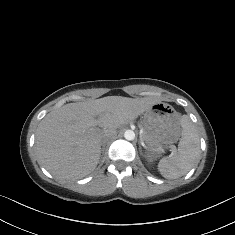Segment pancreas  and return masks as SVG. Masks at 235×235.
<instances>
[{
  "label": "pancreas",
  "instance_id": "1",
  "mask_svg": "<svg viewBox=\"0 0 235 235\" xmlns=\"http://www.w3.org/2000/svg\"><path fill=\"white\" fill-rule=\"evenodd\" d=\"M144 136H145L144 138H146V137H147V133H146V132L144 133Z\"/></svg>",
  "mask_w": 235,
  "mask_h": 235
}]
</instances>
